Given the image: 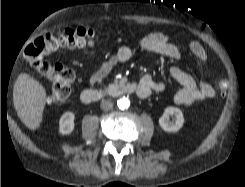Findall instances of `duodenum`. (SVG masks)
I'll use <instances>...</instances> for the list:
<instances>
[{"label": "duodenum", "instance_id": "duodenum-1", "mask_svg": "<svg viewBox=\"0 0 245 187\" xmlns=\"http://www.w3.org/2000/svg\"><path fill=\"white\" fill-rule=\"evenodd\" d=\"M139 91V85L133 82L117 81L103 88L84 89L81 100L85 103L99 101L105 97H119Z\"/></svg>", "mask_w": 245, "mask_h": 187}]
</instances>
